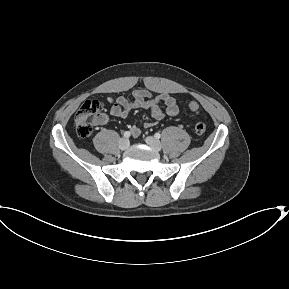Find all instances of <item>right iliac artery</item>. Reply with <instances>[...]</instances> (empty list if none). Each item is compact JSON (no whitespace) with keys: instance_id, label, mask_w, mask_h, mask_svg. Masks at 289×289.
<instances>
[{"instance_id":"1","label":"right iliac artery","mask_w":289,"mask_h":289,"mask_svg":"<svg viewBox=\"0 0 289 289\" xmlns=\"http://www.w3.org/2000/svg\"><path fill=\"white\" fill-rule=\"evenodd\" d=\"M124 137L125 138H129L130 137V132L129 131L124 132Z\"/></svg>"}]
</instances>
